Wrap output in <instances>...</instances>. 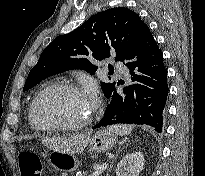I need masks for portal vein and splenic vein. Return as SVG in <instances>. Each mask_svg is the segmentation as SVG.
Masks as SVG:
<instances>
[{"instance_id": "portal-vein-and-splenic-vein-1", "label": "portal vein and splenic vein", "mask_w": 205, "mask_h": 176, "mask_svg": "<svg viewBox=\"0 0 205 176\" xmlns=\"http://www.w3.org/2000/svg\"><path fill=\"white\" fill-rule=\"evenodd\" d=\"M107 166H108V164H107V163H104L103 165L97 167V168H96V171H95V173H94L93 175H94V176L100 175L101 173H103V172L106 170Z\"/></svg>"}]
</instances>
